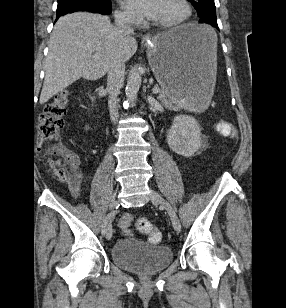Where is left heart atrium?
I'll return each mask as SVG.
<instances>
[{
  "mask_svg": "<svg viewBox=\"0 0 286 308\" xmlns=\"http://www.w3.org/2000/svg\"><path fill=\"white\" fill-rule=\"evenodd\" d=\"M122 3L136 17L154 19L159 0H122Z\"/></svg>",
  "mask_w": 286,
  "mask_h": 308,
  "instance_id": "39dd6f15",
  "label": "left heart atrium"
}]
</instances>
